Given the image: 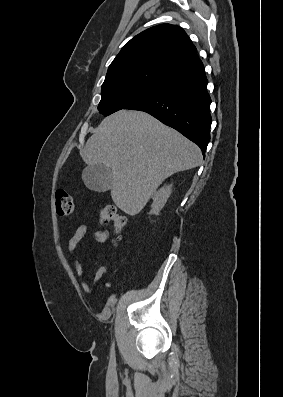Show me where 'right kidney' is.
Returning a JSON list of instances; mask_svg holds the SVG:
<instances>
[{"label":"right kidney","instance_id":"obj_1","mask_svg":"<svg viewBox=\"0 0 283 397\" xmlns=\"http://www.w3.org/2000/svg\"><path fill=\"white\" fill-rule=\"evenodd\" d=\"M172 192V185H167L160 188L153 196V204L150 214L158 215L161 209L166 204Z\"/></svg>","mask_w":283,"mask_h":397}]
</instances>
